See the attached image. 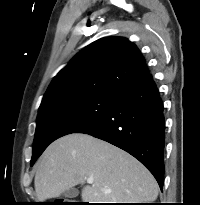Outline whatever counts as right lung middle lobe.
<instances>
[{
  "instance_id": "1",
  "label": "right lung middle lobe",
  "mask_w": 200,
  "mask_h": 205,
  "mask_svg": "<svg viewBox=\"0 0 200 205\" xmlns=\"http://www.w3.org/2000/svg\"><path fill=\"white\" fill-rule=\"evenodd\" d=\"M114 99L95 95L77 96L39 110L31 166L51 142L74 133L99 118Z\"/></svg>"
}]
</instances>
